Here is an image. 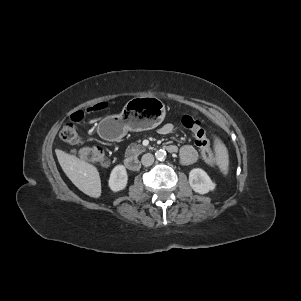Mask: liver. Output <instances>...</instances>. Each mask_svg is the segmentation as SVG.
<instances>
[{"label":"liver","mask_w":301,"mask_h":301,"mask_svg":"<svg viewBox=\"0 0 301 301\" xmlns=\"http://www.w3.org/2000/svg\"><path fill=\"white\" fill-rule=\"evenodd\" d=\"M95 121L97 120H91L90 123ZM55 152L62 170L72 183L88 196L99 198L101 180L96 167L60 149Z\"/></svg>","instance_id":"obj_1"}]
</instances>
